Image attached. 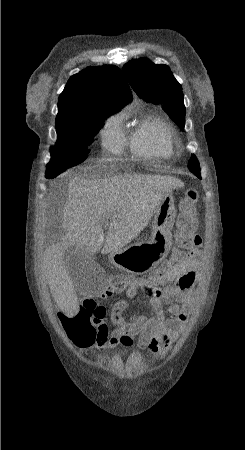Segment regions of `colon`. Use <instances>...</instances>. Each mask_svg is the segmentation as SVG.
I'll list each match as a JSON object with an SVG mask.
<instances>
[{
    "label": "colon",
    "instance_id": "obj_1",
    "mask_svg": "<svg viewBox=\"0 0 245 450\" xmlns=\"http://www.w3.org/2000/svg\"><path fill=\"white\" fill-rule=\"evenodd\" d=\"M199 194L196 189L185 191L180 200V214L177 223L176 244L177 256L183 257L194 249L202 246V239L195 234L197 203ZM163 274V270L160 272ZM153 282V277H148ZM135 283V279L124 273L114 274L108 284L115 291H121ZM106 315V310L94 299L83 298L76 313L66 316L63 329L66 335L75 343H92L97 337L96 327Z\"/></svg>",
    "mask_w": 245,
    "mask_h": 450
}]
</instances>
